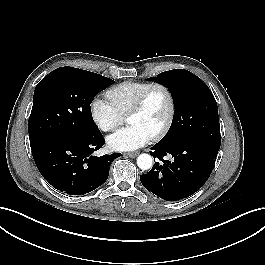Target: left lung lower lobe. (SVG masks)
<instances>
[{"label":"left lung lower lobe","mask_w":265,"mask_h":265,"mask_svg":"<svg viewBox=\"0 0 265 265\" xmlns=\"http://www.w3.org/2000/svg\"><path fill=\"white\" fill-rule=\"evenodd\" d=\"M219 146L201 139H183L174 143L155 144L150 151L155 162L141 183L166 201H177L194 194L208 180ZM169 156L170 160L164 157Z\"/></svg>","instance_id":"0a47b994"}]
</instances>
